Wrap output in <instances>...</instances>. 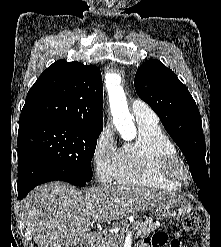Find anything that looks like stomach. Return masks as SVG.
<instances>
[{"mask_svg":"<svg viewBox=\"0 0 221 247\" xmlns=\"http://www.w3.org/2000/svg\"><path fill=\"white\" fill-rule=\"evenodd\" d=\"M191 210V205L184 198L178 196L160 204L156 210L157 217L169 222H177L184 218Z\"/></svg>","mask_w":221,"mask_h":247,"instance_id":"1","label":"stomach"}]
</instances>
